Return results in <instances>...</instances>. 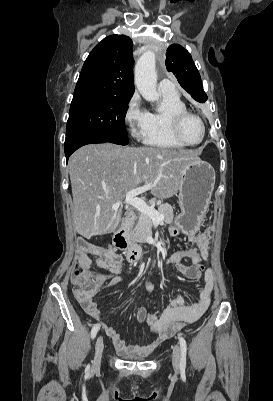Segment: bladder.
Here are the masks:
<instances>
[{
	"instance_id": "31cf9c89",
	"label": "bladder",
	"mask_w": 273,
	"mask_h": 401,
	"mask_svg": "<svg viewBox=\"0 0 273 401\" xmlns=\"http://www.w3.org/2000/svg\"><path fill=\"white\" fill-rule=\"evenodd\" d=\"M145 356H139V357H137V358H139V359H143Z\"/></svg>"
}]
</instances>
